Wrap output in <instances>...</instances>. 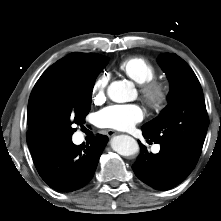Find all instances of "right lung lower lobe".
Returning a JSON list of instances; mask_svg holds the SVG:
<instances>
[{
	"label": "right lung lower lobe",
	"mask_w": 221,
	"mask_h": 221,
	"mask_svg": "<svg viewBox=\"0 0 221 221\" xmlns=\"http://www.w3.org/2000/svg\"><path fill=\"white\" fill-rule=\"evenodd\" d=\"M107 141V136L98 134L91 145L76 146L71 140L34 152L32 157L46 184L55 190L70 192L92 179Z\"/></svg>",
	"instance_id": "1"
}]
</instances>
